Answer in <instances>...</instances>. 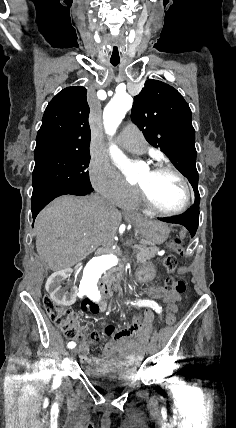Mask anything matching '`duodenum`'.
<instances>
[{"label": "duodenum", "mask_w": 236, "mask_h": 428, "mask_svg": "<svg viewBox=\"0 0 236 428\" xmlns=\"http://www.w3.org/2000/svg\"><path fill=\"white\" fill-rule=\"evenodd\" d=\"M117 291L118 289L114 287L111 282L104 280L100 283L97 293L100 299L107 300L113 297Z\"/></svg>", "instance_id": "obj_1"}]
</instances>
